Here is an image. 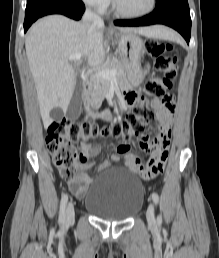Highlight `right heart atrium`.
<instances>
[{
	"instance_id": "1",
	"label": "right heart atrium",
	"mask_w": 219,
	"mask_h": 258,
	"mask_svg": "<svg viewBox=\"0 0 219 258\" xmlns=\"http://www.w3.org/2000/svg\"><path fill=\"white\" fill-rule=\"evenodd\" d=\"M88 7L95 11H104L110 5L111 0H82Z\"/></svg>"
}]
</instances>
